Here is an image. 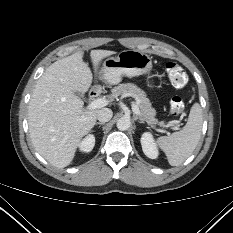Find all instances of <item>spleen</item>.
Segmentation results:
<instances>
[{
  "instance_id": "1",
  "label": "spleen",
  "mask_w": 233,
  "mask_h": 233,
  "mask_svg": "<svg viewBox=\"0 0 233 233\" xmlns=\"http://www.w3.org/2000/svg\"><path fill=\"white\" fill-rule=\"evenodd\" d=\"M202 121V109L195 103L182 130L158 138L157 143L171 166L182 164L192 154L201 137Z\"/></svg>"
}]
</instances>
